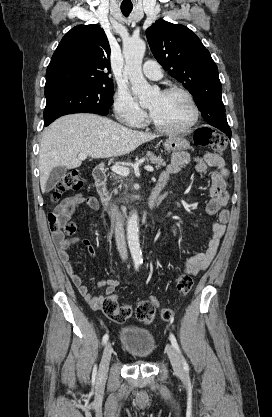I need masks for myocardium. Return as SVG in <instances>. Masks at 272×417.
<instances>
[{"label":"myocardium","instance_id":"obj_1","mask_svg":"<svg viewBox=\"0 0 272 417\" xmlns=\"http://www.w3.org/2000/svg\"><path fill=\"white\" fill-rule=\"evenodd\" d=\"M161 94L163 96H168L172 94H181L183 95L189 102L191 109H192V118L190 122L181 128H167L155 121V119L152 117L151 113H148V122L149 124L154 127L157 131L168 134V135H180L188 133L198 122L200 111L199 107L197 105V102L194 98V96L186 89L182 87H169L161 91Z\"/></svg>","mask_w":272,"mask_h":417}]
</instances>
